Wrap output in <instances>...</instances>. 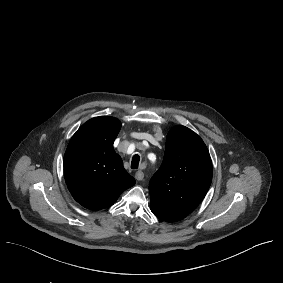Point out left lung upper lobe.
Listing matches in <instances>:
<instances>
[{
  "instance_id": "5c2ea615",
  "label": "left lung upper lobe",
  "mask_w": 283,
  "mask_h": 283,
  "mask_svg": "<svg viewBox=\"0 0 283 283\" xmlns=\"http://www.w3.org/2000/svg\"><path fill=\"white\" fill-rule=\"evenodd\" d=\"M212 182V161L203 140L185 126L167 135L164 159L149 184L151 205L190 213Z\"/></svg>"
}]
</instances>
